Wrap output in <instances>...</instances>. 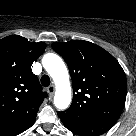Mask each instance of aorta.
Listing matches in <instances>:
<instances>
[{"instance_id":"762f6f07","label":"aorta","mask_w":136,"mask_h":136,"mask_svg":"<svg viewBox=\"0 0 136 136\" xmlns=\"http://www.w3.org/2000/svg\"><path fill=\"white\" fill-rule=\"evenodd\" d=\"M42 65L56 86L55 106L60 110L68 108L71 103V86L68 70L63 60L57 54L47 53L43 56Z\"/></svg>"}]
</instances>
